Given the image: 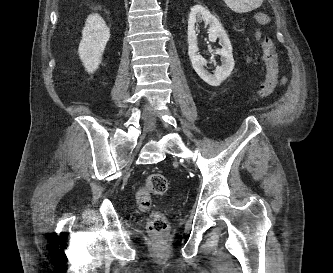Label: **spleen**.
<instances>
[{"mask_svg":"<svg viewBox=\"0 0 333 273\" xmlns=\"http://www.w3.org/2000/svg\"><path fill=\"white\" fill-rule=\"evenodd\" d=\"M226 5L236 13H246L261 6L263 0H224Z\"/></svg>","mask_w":333,"mask_h":273,"instance_id":"3e777b00","label":"spleen"}]
</instances>
